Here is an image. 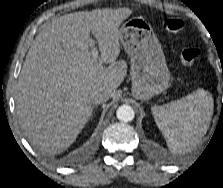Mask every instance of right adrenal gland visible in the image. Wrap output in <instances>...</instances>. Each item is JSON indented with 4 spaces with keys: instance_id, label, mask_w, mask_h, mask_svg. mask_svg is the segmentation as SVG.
Instances as JSON below:
<instances>
[{
    "instance_id": "obj_1",
    "label": "right adrenal gland",
    "mask_w": 223,
    "mask_h": 188,
    "mask_svg": "<svg viewBox=\"0 0 223 188\" xmlns=\"http://www.w3.org/2000/svg\"><path fill=\"white\" fill-rule=\"evenodd\" d=\"M94 108H95V106L93 105V106L91 107V109H90L89 118L91 117ZM89 118H88V120H89Z\"/></svg>"
}]
</instances>
